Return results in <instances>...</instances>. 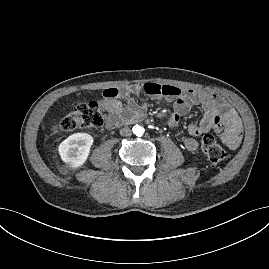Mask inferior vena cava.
<instances>
[{"mask_svg": "<svg viewBox=\"0 0 269 269\" xmlns=\"http://www.w3.org/2000/svg\"><path fill=\"white\" fill-rule=\"evenodd\" d=\"M120 134L122 136H131L132 135V131L129 127H124L120 130Z\"/></svg>", "mask_w": 269, "mask_h": 269, "instance_id": "inferior-vena-cava-1", "label": "inferior vena cava"}]
</instances>
